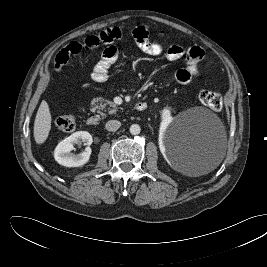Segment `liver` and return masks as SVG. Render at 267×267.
<instances>
[{
    "instance_id": "liver-1",
    "label": "liver",
    "mask_w": 267,
    "mask_h": 267,
    "mask_svg": "<svg viewBox=\"0 0 267 267\" xmlns=\"http://www.w3.org/2000/svg\"><path fill=\"white\" fill-rule=\"evenodd\" d=\"M52 117L48 103L43 100L38 108L34 121V139L37 144H42L48 138L51 129Z\"/></svg>"
}]
</instances>
